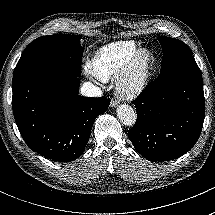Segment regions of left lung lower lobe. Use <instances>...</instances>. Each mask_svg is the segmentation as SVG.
Returning <instances> with one entry per match:
<instances>
[{"label":"left lung lower lobe","instance_id":"0a47b994","mask_svg":"<svg viewBox=\"0 0 215 215\" xmlns=\"http://www.w3.org/2000/svg\"><path fill=\"white\" fill-rule=\"evenodd\" d=\"M137 121L128 131L135 149L150 161H169L198 140L205 117L201 71L189 62L160 74L133 101Z\"/></svg>","mask_w":215,"mask_h":215}]
</instances>
